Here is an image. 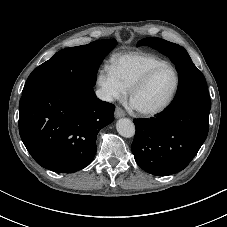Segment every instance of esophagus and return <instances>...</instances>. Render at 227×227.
Returning <instances> with one entry per match:
<instances>
[{"instance_id": "obj_1", "label": "esophagus", "mask_w": 227, "mask_h": 227, "mask_svg": "<svg viewBox=\"0 0 227 227\" xmlns=\"http://www.w3.org/2000/svg\"><path fill=\"white\" fill-rule=\"evenodd\" d=\"M114 114L116 118H121L125 116V112L120 107H116Z\"/></svg>"}]
</instances>
